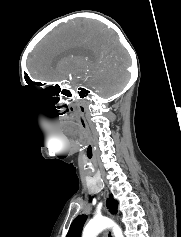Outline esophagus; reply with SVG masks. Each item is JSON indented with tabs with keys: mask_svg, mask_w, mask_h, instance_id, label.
Returning <instances> with one entry per match:
<instances>
[{
	"mask_svg": "<svg viewBox=\"0 0 181 237\" xmlns=\"http://www.w3.org/2000/svg\"><path fill=\"white\" fill-rule=\"evenodd\" d=\"M107 237H113V233L111 230L108 231V236Z\"/></svg>",
	"mask_w": 181,
	"mask_h": 237,
	"instance_id": "34e87169",
	"label": "esophagus"
}]
</instances>
